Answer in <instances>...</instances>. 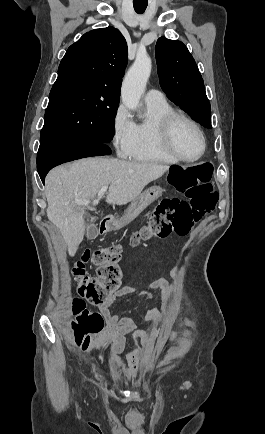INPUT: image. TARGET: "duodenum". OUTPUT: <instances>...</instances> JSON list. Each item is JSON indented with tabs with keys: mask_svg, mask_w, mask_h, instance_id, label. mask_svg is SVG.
Here are the masks:
<instances>
[{
	"mask_svg": "<svg viewBox=\"0 0 265 434\" xmlns=\"http://www.w3.org/2000/svg\"><path fill=\"white\" fill-rule=\"evenodd\" d=\"M111 221L110 220H107V219H101L100 220V229H101V232H106V231H110V229H111Z\"/></svg>",
	"mask_w": 265,
	"mask_h": 434,
	"instance_id": "duodenum-1",
	"label": "duodenum"
}]
</instances>
